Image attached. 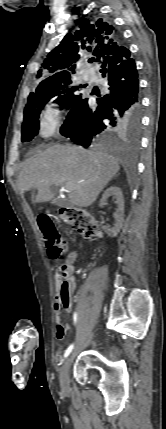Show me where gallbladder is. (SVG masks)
I'll return each instance as SVG.
<instances>
[{"label":"gallbladder","mask_w":166,"mask_h":429,"mask_svg":"<svg viewBox=\"0 0 166 429\" xmlns=\"http://www.w3.org/2000/svg\"><path fill=\"white\" fill-rule=\"evenodd\" d=\"M52 203L60 207L70 206V202L67 199L60 197L54 198Z\"/></svg>","instance_id":"obj_1"}]
</instances>
